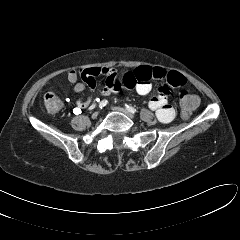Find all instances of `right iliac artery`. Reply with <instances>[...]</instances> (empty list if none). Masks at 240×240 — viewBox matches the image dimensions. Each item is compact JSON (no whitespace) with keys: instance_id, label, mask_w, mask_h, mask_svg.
<instances>
[{"instance_id":"82829eb1","label":"right iliac artery","mask_w":240,"mask_h":240,"mask_svg":"<svg viewBox=\"0 0 240 240\" xmlns=\"http://www.w3.org/2000/svg\"><path fill=\"white\" fill-rule=\"evenodd\" d=\"M108 104V101L107 100H102L101 102H100V104H99V108H103V107H105L106 105Z\"/></svg>"}]
</instances>
